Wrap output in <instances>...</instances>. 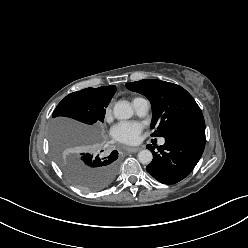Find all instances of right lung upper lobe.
I'll return each mask as SVG.
<instances>
[{
    "label": "right lung upper lobe",
    "mask_w": 248,
    "mask_h": 248,
    "mask_svg": "<svg viewBox=\"0 0 248 248\" xmlns=\"http://www.w3.org/2000/svg\"><path fill=\"white\" fill-rule=\"evenodd\" d=\"M94 91H98V92H103V93H107V94H115L116 92V86H102L99 88H91Z\"/></svg>",
    "instance_id": "right-lung-upper-lobe-1"
}]
</instances>
